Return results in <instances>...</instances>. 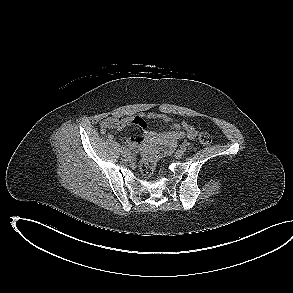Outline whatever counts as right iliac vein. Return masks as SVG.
<instances>
[{"instance_id": "63e3f726", "label": "right iliac vein", "mask_w": 293, "mask_h": 293, "mask_svg": "<svg viewBox=\"0 0 293 293\" xmlns=\"http://www.w3.org/2000/svg\"><path fill=\"white\" fill-rule=\"evenodd\" d=\"M120 152H121V154L123 156H129V155H131V151L129 149H127V148L121 149Z\"/></svg>"}]
</instances>
